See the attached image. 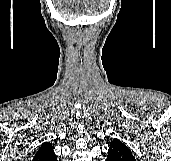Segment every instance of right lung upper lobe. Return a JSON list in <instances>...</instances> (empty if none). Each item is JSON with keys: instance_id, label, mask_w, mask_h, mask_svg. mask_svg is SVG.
I'll return each instance as SVG.
<instances>
[{"instance_id": "1", "label": "right lung upper lobe", "mask_w": 171, "mask_h": 161, "mask_svg": "<svg viewBox=\"0 0 171 161\" xmlns=\"http://www.w3.org/2000/svg\"><path fill=\"white\" fill-rule=\"evenodd\" d=\"M32 161H57V156L53 151L52 144L44 142L35 153Z\"/></svg>"}]
</instances>
